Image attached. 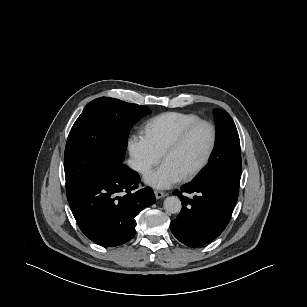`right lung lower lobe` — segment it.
Segmentation results:
<instances>
[{
  "mask_svg": "<svg viewBox=\"0 0 307 307\" xmlns=\"http://www.w3.org/2000/svg\"><path fill=\"white\" fill-rule=\"evenodd\" d=\"M139 182L138 173L120 163L67 193L72 213L84 235L106 247L118 246L132 239L135 217L155 202L150 188L134 191Z\"/></svg>",
  "mask_w": 307,
  "mask_h": 307,
  "instance_id": "right-lung-lower-lobe-1",
  "label": "right lung lower lobe"
}]
</instances>
